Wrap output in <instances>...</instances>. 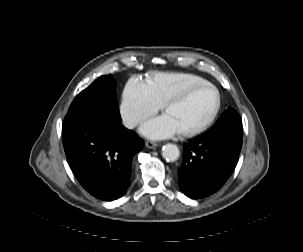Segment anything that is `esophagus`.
Returning a JSON list of instances; mask_svg holds the SVG:
<instances>
[{
	"label": "esophagus",
	"mask_w": 303,
	"mask_h": 252,
	"mask_svg": "<svg viewBox=\"0 0 303 252\" xmlns=\"http://www.w3.org/2000/svg\"><path fill=\"white\" fill-rule=\"evenodd\" d=\"M145 146L147 147V148H156L157 146H159V143H157V142H154V141H150V140H147L146 142H145Z\"/></svg>",
	"instance_id": "34e87169"
}]
</instances>
